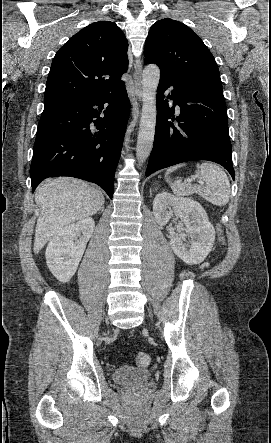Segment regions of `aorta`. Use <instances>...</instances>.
I'll return each instance as SVG.
<instances>
[{
  "label": "aorta",
  "mask_w": 271,
  "mask_h": 443,
  "mask_svg": "<svg viewBox=\"0 0 271 443\" xmlns=\"http://www.w3.org/2000/svg\"><path fill=\"white\" fill-rule=\"evenodd\" d=\"M160 80L158 66H146L142 74V112L139 124L136 158L143 164L149 158L154 142L156 126V92Z\"/></svg>",
  "instance_id": "aorta-1"
}]
</instances>
